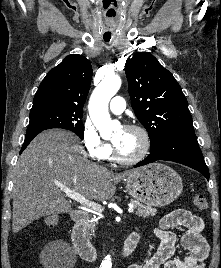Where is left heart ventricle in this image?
<instances>
[{
  "label": "left heart ventricle",
  "mask_w": 221,
  "mask_h": 268,
  "mask_svg": "<svg viewBox=\"0 0 221 268\" xmlns=\"http://www.w3.org/2000/svg\"><path fill=\"white\" fill-rule=\"evenodd\" d=\"M113 144L125 158H132L142 149L143 139L139 132L120 129L112 138Z\"/></svg>",
  "instance_id": "b2bd125f"
}]
</instances>
